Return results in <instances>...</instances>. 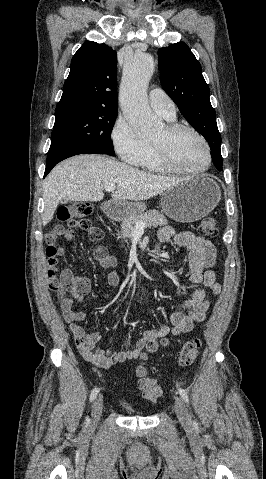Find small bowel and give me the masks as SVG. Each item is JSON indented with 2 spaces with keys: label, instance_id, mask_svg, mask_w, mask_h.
I'll list each match as a JSON object with an SVG mask.
<instances>
[{
  "label": "small bowel",
  "instance_id": "c3829d8e",
  "mask_svg": "<svg viewBox=\"0 0 266 479\" xmlns=\"http://www.w3.org/2000/svg\"><path fill=\"white\" fill-rule=\"evenodd\" d=\"M59 236L67 241H73L75 234L71 230H60ZM158 238L161 243H174L189 253V280L193 284L191 296L184 300L169 316L170 325L146 330L135 346L124 351L113 353L97 346L102 338L99 332H87L81 322L87 319V314L75 309L74 305L81 302L91 291V281L85 276L75 275L72 270L63 269L58 278L51 281L55 290L64 321L69 325L74 343L82 357L99 368H110L127 360L137 359L142 351L151 342H156L168 335L180 336L190 332L195 324L202 323L210 306L206 296V288L214 294L221 290L217 282L213 267L216 263V249L214 245L202 236L192 232L175 233L171 226L159 229ZM94 261L105 270L116 265V258L106 253L101 246L96 247L93 254ZM121 278L118 272L112 271L107 275L110 286L116 287ZM109 298L106 295L103 300Z\"/></svg>",
  "mask_w": 266,
  "mask_h": 479
}]
</instances>
